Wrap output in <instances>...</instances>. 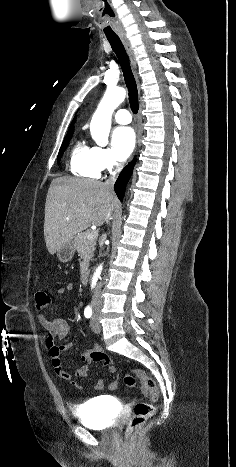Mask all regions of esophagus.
I'll return each mask as SVG.
<instances>
[{"label":"esophagus","mask_w":236,"mask_h":467,"mask_svg":"<svg viewBox=\"0 0 236 467\" xmlns=\"http://www.w3.org/2000/svg\"><path fill=\"white\" fill-rule=\"evenodd\" d=\"M121 40H122V43H123V45H124V47L126 49V52H127L128 56H129L131 67H132V70H133V73H134V76H135V79H136V82H137L138 91L140 92V81H139V77H138L137 62H136V59H135L133 49H132V47L130 45L129 40L126 37H122ZM137 145H138V147L140 145L139 133H138Z\"/></svg>","instance_id":"34e87169"}]
</instances>
